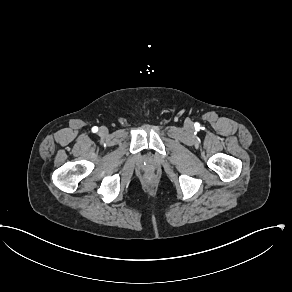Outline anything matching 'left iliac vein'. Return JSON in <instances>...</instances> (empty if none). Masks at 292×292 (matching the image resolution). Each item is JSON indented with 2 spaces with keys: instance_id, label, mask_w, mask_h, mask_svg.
<instances>
[{
  "instance_id": "1",
  "label": "left iliac vein",
  "mask_w": 292,
  "mask_h": 292,
  "mask_svg": "<svg viewBox=\"0 0 292 292\" xmlns=\"http://www.w3.org/2000/svg\"><path fill=\"white\" fill-rule=\"evenodd\" d=\"M186 125H187V127H190L191 126L190 122H188Z\"/></svg>"
}]
</instances>
